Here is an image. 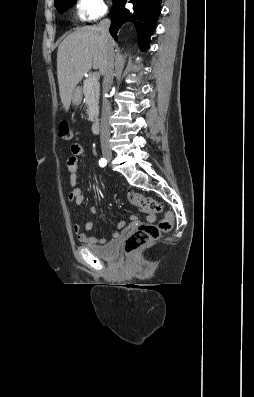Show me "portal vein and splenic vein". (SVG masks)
Masks as SVG:
<instances>
[{
	"label": "portal vein and splenic vein",
	"mask_w": 254,
	"mask_h": 397,
	"mask_svg": "<svg viewBox=\"0 0 254 397\" xmlns=\"http://www.w3.org/2000/svg\"><path fill=\"white\" fill-rule=\"evenodd\" d=\"M99 78V74L98 73H94L93 75H92V79L93 80H97Z\"/></svg>",
	"instance_id": "portal-vein-and-splenic-vein-1"
}]
</instances>
